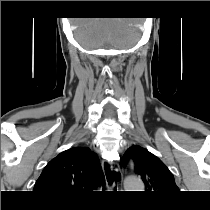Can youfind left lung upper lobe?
Here are the masks:
<instances>
[{
    "label": "left lung upper lobe",
    "instance_id": "left-lung-upper-lobe-1",
    "mask_svg": "<svg viewBox=\"0 0 210 210\" xmlns=\"http://www.w3.org/2000/svg\"><path fill=\"white\" fill-rule=\"evenodd\" d=\"M129 158L135 163V172L145 183L146 192L159 194H173L178 192L174 177L164 163L147 149L138 145L131 146L121 159L124 165Z\"/></svg>",
    "mask_w": 210,
    "mask_h": 210
}]
</instances>
